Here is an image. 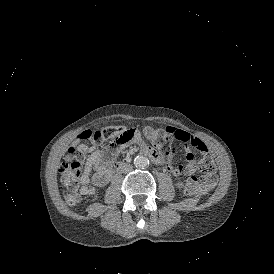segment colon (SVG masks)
<instances>
[{"instance_id": "colon-1", "label": "colon", "mask_w": 274, "mask_h": 274, "mask_svg": "<svg viewBox=\"0 0 274 274\" xmlns=\"http://www.w3.org/2000/svg\"><path fill=\"white\" fill-rule=\"evenodd\" d=\"M143 134L163 156H167L174 147H178L179 140H176L175 135H168L165 127L155 128L146 126L143 129ZM139 136L138 131L126 130L123 127L78 133V142L68 149V159L62 162L59 168L64 179L66 203L70 206H74L79 202L80 197L78 195L77 184L83 170V149L86 145L89 146V143L103 137L114 146L122 147L127 145L128 142L135 143L136 140L139 139ZM187 192L191 195L197 194L201 196L208 193L207 188L200 178L188 182Z\"/></svg>"}]
</instances>
